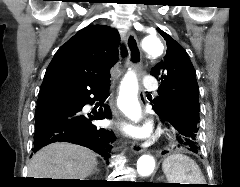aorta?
<instances>
[{
	"instance_id": "762f6f07",
	"label": "aorta",
	"mask_w": 240,
	"mask_h": 187,
	"mask_svg": "<svg viewBox=\"0 0 240 187\" xmlns=\"http://www.w3.org/2000/svg\"><path fill=\"white\" fill-rule=\"evenodd\" d=\"M142 52L149 57L161 56L164 51L163 43L156 34L146 35L141 40ZM138 82L136 74L128 71L121 81L118 106L120 110L131 120L137 122L141 117V108L137 98ZM155 160L150 155H143L137 161V172L140 176L146 177L153 173Z\"/></svg>"
}]
</instances>
